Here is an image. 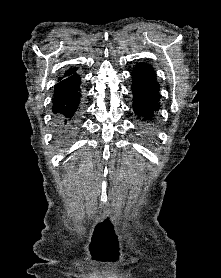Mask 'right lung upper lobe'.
<instances>
[{
	"label": "right lung upper lobe",
	"mask_w": 221,
	"mask_h": 278,
	"mask_svg": "<svg viewBox=\"0 0 221 278\" xmlns=\"http://www.w3.org/2000/svg\"><path fill=\"white\" fill-rule=\"evenodd\" d=\"M76 71V68L75 67H72V68H69L68 70L65 71L64 75L62 77L59 78V80L65 78V77H68L72 74H74Z\"/></svg>",
	"instance_id": "right-lung-upper-lobe-1"
}]
</instances>
